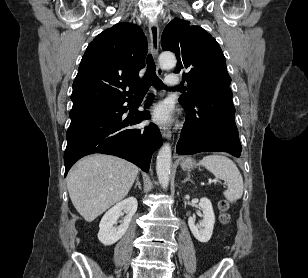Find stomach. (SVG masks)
<instances>
[{"mask_svg":"<svg viewBox=\"0 0 308 278\" xmlns=\"http://www.w3.org/2000/svg\"><path fill=\"white\" fill-rule=\"evenodd\" d=\"M196 162L192 159V158H185L182 162H181V167L182 169L186 170V171H190L191 169H193L194 167H196Z\"/></svg>","mask_w":308,"mask_h":278,"instance_id":"obj_1","label":"stomach"}]
</instances>
